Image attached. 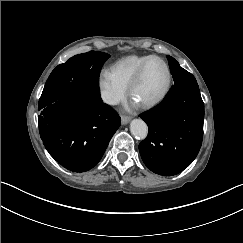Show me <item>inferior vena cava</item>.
<instances>
[{"mask_svg": "<svg viewBox=\"0 0 243 243\" xmlns=\"http://www.w3.org/2000/svg\"><path fill=\"white\" fill-rule=\"evenodd\" d=\"M102 99L104 102L111 104V105H116L119 102L117 98L111 96L106 91L102 92Z\"/></svg>", "mask_w": 243, "mask_h": 243, "instance_id": "1", "label": "inferior vena cava"}]
</instances>
